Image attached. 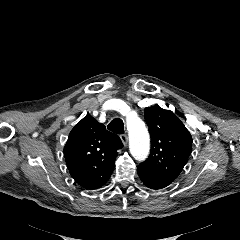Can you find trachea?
<instances>
[{"label":"trachea","mask_w":240,"mask_h":240,"mask_svg":"<svg viewBox=\"0 0 240 240\" xmlns=\"http://www.w3.org/2000/svg\"><path fill=\"white\" fill-rule=\"evenodd\" d=\"M108 129L116 134H123L124 133V124L120 118L113 119L108 124Z\"/></svg>","instance_id":"obj_1"}]
</instances>
